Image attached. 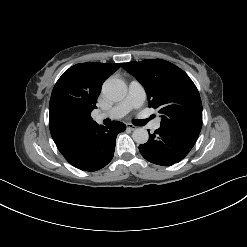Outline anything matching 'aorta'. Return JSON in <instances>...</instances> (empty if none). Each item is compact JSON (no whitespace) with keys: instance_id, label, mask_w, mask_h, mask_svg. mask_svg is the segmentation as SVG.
Returning a JSON list of instances; mask_svg holds the SVG:
<instances>
[{"instance_id":"1","label":"aorta","mask_w":247,"mask_h":247,"mask_svg":"<svg viewBox=\"0 0 247 247\" xmlns=\"http://www.w3.org/2000/svg\"><path fill=\"white\" fill-rule=\"evenodd\" d=\"M102 93L106 99L118 102L125 98L127 86L119 78H108L102 86ZM132 138L137 144H145L149 139V134L146 129L137 128L133 131Z\"/></svg>"}]
</instances>
